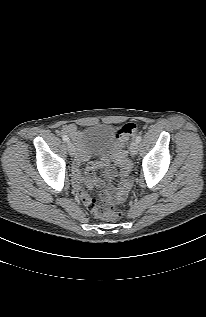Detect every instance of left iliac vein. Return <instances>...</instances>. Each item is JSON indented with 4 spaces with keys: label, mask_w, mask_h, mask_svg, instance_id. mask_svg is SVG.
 <instances>
[{
    "label": "left iliac vein",
    "mask_w": 206,
    "mask_h": 317,
    "mask_svg": "<svg viewBox=\"0 0 206 317\" xmlns=\"http://www.w3.org/2000/svg\"><path fill=\"white\" fill-rule=\"evenodd\" d=\"M138 148H139L138 143L136 141H133L130 145V153L132 155H136L138 152Z\"/></svg>",
    "instance_id": "4c4485c4"
}]
</instances>
